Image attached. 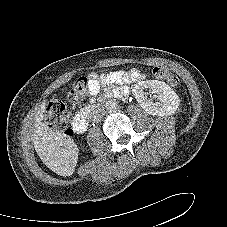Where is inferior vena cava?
Here are the masks:
<instances>
[{"instance_id": "1", "label": "inferior vena cava", "mask_w": 227, "mask_h": 227, "mask_svg": "<svg viewBox=\"0 0 227 227\" xmlns=\"http://www.w3.org/2000/svg\"><path fill=\"white\" fill-rule=\"evenodd\" d=\"M104 115H105V110L103 108H95L90 113V119L93 122H98L104 117Z\"/></svg>"}]
</instances>
